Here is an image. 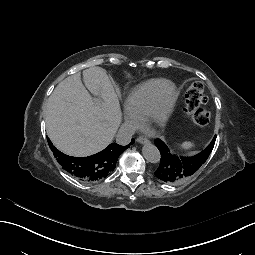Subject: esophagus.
I'll return each instance as SVG.
<instances>
[{
  "label": "esophagus",
  "instance_id": "obj_1",
  "mask_svg": "<svg viewBox=\"0 0 255 255\" xmlns=\"http://www.w3.org/2000/svg\"><path fill=\"white\" fill-rule=\"evenodd\" d=\"M137 142L140 144H149L150 143V141L144 137L137 138Z\"/></svg>",
  "mask_w": 255,
  "mask_h": 255
}]
</instances>
